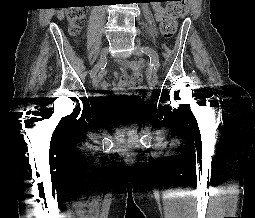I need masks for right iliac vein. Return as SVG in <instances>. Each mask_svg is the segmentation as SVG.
Masks as SVG:
<instances>
[{
	"mask_svg": "<svg viewBox=\"0 0 255 218\" xmlns=\"http://www.w3.org/2000/svg\"><path fill=\"white\" fill-rule=\"evenodd\" d=\"M107 53H108V49L105 47L101 50L100 52V56H99V61L98 63L94 66V74L92 75L91 77V80H92V85L94 87L98 86L99 84V77L97 76V73L99 72L100 68L102 67L103 63L105 62L106 60V56H107Z\"/></svg>",
	"mask_w": 255,
	"mask_h": 218,
	"instance_id": "1",
	"label": "right iliac vein"
}]
</instances>
